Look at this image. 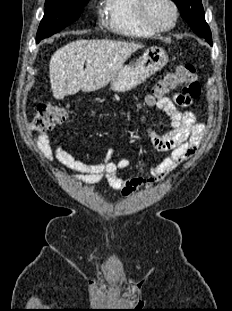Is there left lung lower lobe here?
<instances>
[{"label": "left lung lower lobe", "mask_w": 232, "mask_h": 311, "mask_svg": "<svg viewBox=\"0 0 232 311\" xmlns=\"http://www.w3.org/2000/svg\"><path fill=\"white\" fill-rule=\"evenodd\" d=\"M204 38H206V40H207L210 44H212L211 36H209V37H204Z\"/></svg>", "instance_id": "1"}]
</instances>
